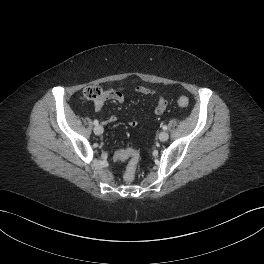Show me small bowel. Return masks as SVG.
Instances as JSON below:
<instances>
[{
    "instance_id": "small-bowel-1",
    "label": "small bowel",
    "mask_w": 264,
    "mask_h": 264,
    "mask_svg": "<svg viewBox=\"0 0 264 264\" xmlns=\"http://www.w3.org/2000/svg\"><path fill=\"white\" fill-rule=\"evenodd\" d=\"M134 91L136 93L142 94V95H147V96H154L157 98V104L155 106L154 112L156 115H161L165 112L168 106V101L162 96V94L156 90H153L151 88L145 87V86H136L134 88ZM125 87H115V88H109L104 91L103 96L100 99H97L93 102L94 109L96 111H99L103 108L105 102L113 100L117 102H124L125 100ZM116 121V116L111 115L105 122L106 123H111ZM137 121L133 120L130 122V125L132 127L137 126ZM121 151V150H120ZM117 151L114 154V160L119 161V160H124L119 157V152Z\"/></svg>"
}]
</instances>
